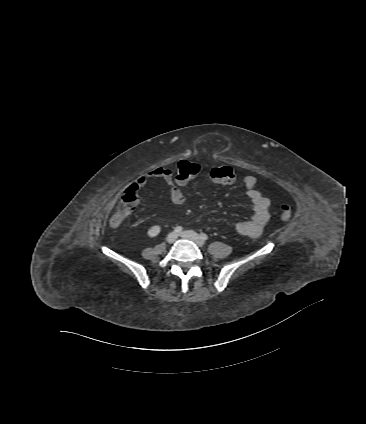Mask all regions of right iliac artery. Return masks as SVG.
I'll return each mask as SVG.
<instances>
[{"label": "right iliac artery", "mask_w": 366, "mask_h": 424, "mask_svg": "<svg viewBox=\"0 0 366 424\" xmlns=\"http://www.w3.org/2000/svg\"><path fill=\"white\" fill-rule=\"evenodd\" d=\"M182 230H183V228L181 226H178L174 229V232L180 233Z\"/></svg>", "instance_id": "right-iliac-artery-1"}]
</instances>
